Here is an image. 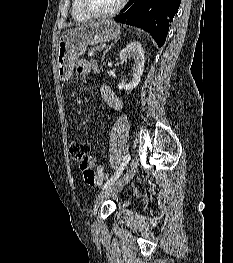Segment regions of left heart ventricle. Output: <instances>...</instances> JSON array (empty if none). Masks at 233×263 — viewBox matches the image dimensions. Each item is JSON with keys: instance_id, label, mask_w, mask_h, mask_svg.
Wrapping results in <instances>:
<instances>
[{"instance_id": "b2bd125f", "label": "left heart ventricle", "mask_w": 233, "mask_h": 263, "mask_svg": "<svg viewBox=\"0 0 233 263\" xmlns=\"http://www.w3.org/2000/svg\"><path fill=\"white\" fill-rule=\"evenodd\" d=\"M120 0H86L87 5L96 12H105L113 9Z\"/></svg>"}]
</instances>
